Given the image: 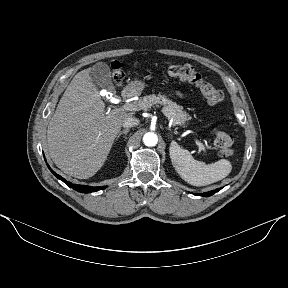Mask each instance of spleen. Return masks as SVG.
Instances as JSON below:
<instances>
[{
    "mask_svg": "<svg viewBox=\"0 0 288 288\" xmlns=\"http://www.w3.org/2000/svg\"><path fill=\"white\" fill-rule=\"evenodd\" d=\"M172 165L183 180L194 186H206L227 177L232 170L230 161L221 159L213 164L194 160L188 150L172 141L169 148Z\"/></svg>",
    "mask_w": 288,
    "mask_h": 288,
    "instance_id": "1",
    "label": "spleen"
}]
</instances>
